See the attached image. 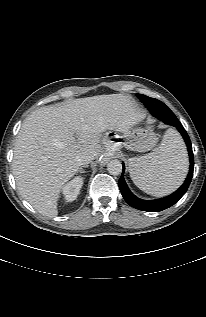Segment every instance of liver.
<instances>
[{"label":"liver","mask_w":206,"mask_h":317,"mask_svg":"<svg viewBox=\"0 0 206 317\" xmlns=\"http://www.w3.org/2000/svg\"><path fill=\"white\" fill-rule=\"evenodd\" d=\"M145 118L124 94L79 98L32 112L17 135L13 174L20 195L40 214L58 215L65 183L78 171L77 157L102 151V133H125Z\"/></svg>","instance_id":"1"}]
</instances>
